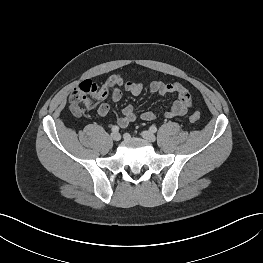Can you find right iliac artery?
<instances>
[{"instance_id":"1","label":"right iliac artery","mask_w":263,"mask_h":263,"mask_svg":"<svg viewBox=\"0 0 263 263\" xmlns=\"http://www.w3.org/2000/svg\"><path fill=\"white\" fill-rule=\"evenodd\" d=\"M113 132H118L119 131V127L118 126H113L111 129Z\"/></svg>"}]
</instances>
